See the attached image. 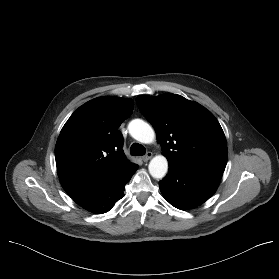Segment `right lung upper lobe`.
Here are the masks:
<instances>
[{
  "instance_id": "obj_1",
  "label": "right lung upper lobe",
  "mask_w": 279,
  "mask_h": 279,
  "mask_svg": "<svg viewBox=\"0 0 279 279\" xmlns=\"http://www.w3.org/2000/svg\"><path fill=\"white\" fill-rule=\"evenodd\" d=\"M129 98L99 97L79 107L62 128L55 159L72 199L97 192L136 168L122 149L121 123L133 111Z\"/></svg>"
}]
</instances>
